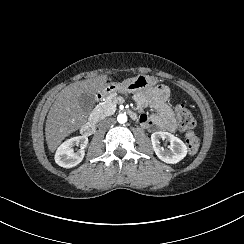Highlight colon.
I'll return each mask as SVG.
<instances>
[{
    "mask_svg": "<svg viewBox=\"0 0 244 244\" xmlns=\"http://www.w3.org/2000/svg\"><path fill=\"white\" fill-rule=\"evenodd\" d=\"M176 116L181 133L186 135L188 152L190 154H196L200 147V139L193 132L195 127L193 114L183 107H178L176 109Z\"/></svg>",
    "mask_w": 244,
    "mask_h": 244,
    "instance_id": "5ec220e1",
    "label": "colon"
}]
</instances>
